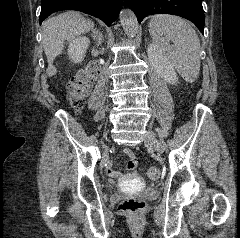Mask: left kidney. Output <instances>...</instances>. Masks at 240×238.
<instances>
[{
	"instance_id": "1",
	"label": "left kidney",
	"mask_w": 240,
	"mask_h": 238,
	"mask_svg": "<svg viewBox=\"0 0 240 238\" xmlns=\"http://www.w3.org/2000/svg\"><path fill=\"white\" fill-rule=\"evenodd\" d=\"M147 55L151 65L167 83L175 84L177 82L178 77L173 64L158 45L150 43Z\"/></svg>"
}]
</instances>
